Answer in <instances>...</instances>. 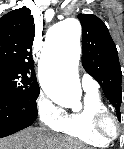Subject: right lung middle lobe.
I'll return each instance as SVG.
<instances>
[{
	"label": "right lung middle lobe",
	"mask_w": 124,
	"mask_h": 149,
	"mask_svg": "<svg viewBox=\"0 0 124 149\" xmlns=\"http://www.w3.org/2000/svg\"><path fill=\"white\" fill-rule=\"evenodd\" d=\"M39 85L28 74L6 66H0V94L22 100L29 108L37 110Z\"/></svg>",
	"instance_id": "obj_1"
}]
</instances>
